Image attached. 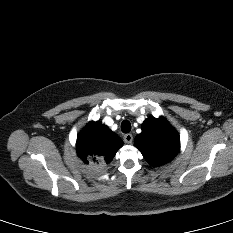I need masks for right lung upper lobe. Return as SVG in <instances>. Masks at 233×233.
<instances>
[{
	"label": "right lung upper lobe",
	"instance_id": "obj_1",
	"mask_svg": "<svg viewBox=\"0 0 233 233\" xmlns=\"http://www.w3.org/2000/svg\"><path fill=\"white\" fill-rule=\"evenodd\" d=\"M123 145L122 140L100 121H91L78 134L77 154L85 165L103 168Z\"/></svg>",
	"mask_w": 233,
	"mask_h": 233
}]
</instances>
